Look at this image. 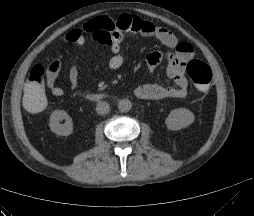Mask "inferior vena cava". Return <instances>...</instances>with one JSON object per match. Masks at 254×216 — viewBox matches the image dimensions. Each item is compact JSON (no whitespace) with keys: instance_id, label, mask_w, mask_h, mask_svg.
<instances>
[{"instance_id":"1","label":"inferior vena cava","mask_w":254,"mask_h":216,"mask_svg":"<svg viewBox=\"0 0 254 216\" xmlns=\"http://www.w3.org/2000/svg\"><path fill=\"white\" fill-rule=\"evenodd\" d=\"M110 111V105L107 102H99L96 106V112L99 115H105Z\"/></svg>"}]
</instances>
